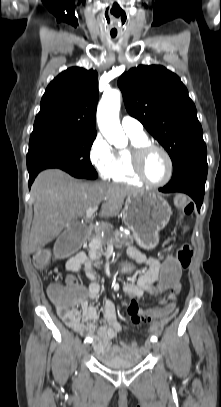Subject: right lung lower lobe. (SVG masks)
Returning a JSON list of instances; mask_svg holds the SVG:
<instances>
[{"instance_id":"98d812e1","label":"right lung lower lobe","mask_w":221,"mask_h":407,"mask_svg":"<svg viewBox=\"0 0 221 407\" xmlns=\"http://www.w3.org/2000/svg\"><path fill=\"white\" fill-rule=\"evenodd\" d=\"M47 168H56V167L48 165V166H44L42 168L35 169V170L29 172V188L31 187V184L33 183V181H34L35 177L37 176V174L40 171H42L44 169H47ZM74 177H76V176H74ZM77 178H82V177H77Z\"/></svg>"}]
</instances>
